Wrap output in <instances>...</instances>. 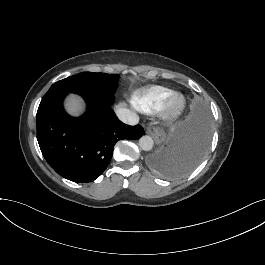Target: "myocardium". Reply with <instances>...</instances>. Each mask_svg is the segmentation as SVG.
<instances>
[{"label": "myocardium", "instance_id": "obj_1", "mask_svg": "<svg viewBox=\"0 0 265 265\" xmlns=\"http://www.w3.org/2000/svg\"><path fill=\"white\" fill-rule=\"evenodd\" d=\"M185 106V102L183 99L179 98L178 96L173 97L170 100L169 106L165 112V119L167 120H173L176 117H178L181 112L183 111Z\"/></svg>", "mask_w": 265, "mask_h": 265}]
</instances>
